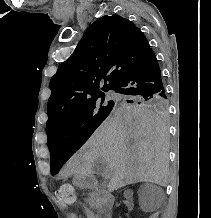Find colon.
<instances>
[{"mask_svg": "<svg viewBox=\"0 0 211 218\" xmlns=\"http://www.w3.org/2000/svg\"><path fill=\"white\" fill-rule=\"evenodd\" d=\"M57 199L64 204H72L75 202L76 196L72 185L62 184L56 192Z\"/></svg>", "mask_w": 211, "mask_h": 218, "instance_id": "5ec220e1", "label": "colon"}]
</instances>
